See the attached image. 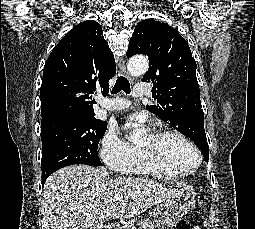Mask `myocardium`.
I'll list each match as a JSON object with an SVG mask.
<instances>
[{"label": "myocardium", "instance_id": "myocardium-1", "mask_svg": "<svg viewBox=\"0 0 255 229\" xmlns=\"http://www.w3.org/2000/svg\"><path fill=\"white\" fill-rule=\"evenodd\" d=\"M153 135L158 138H162V137H166V136L178 137V138L184 140L187 144H189L197 155V163L194 166L183 168V169H176V168H173V167L163 163L160 159H158L156 157V155H154L150 151H147V150L139 147L140 150L146 155V157L151 162H153L156 166H158L159 168L165 170L166 172H168L171 175L180 177V176L189 174V173L197 170L201 166V164L203 162V155H202L200 149L198 148V146L196 145V143L186 134H184L178 130H164V131L156 132Z\"/></svg>", "mask_w": 255, "mask_h": 229}]
</instances>
